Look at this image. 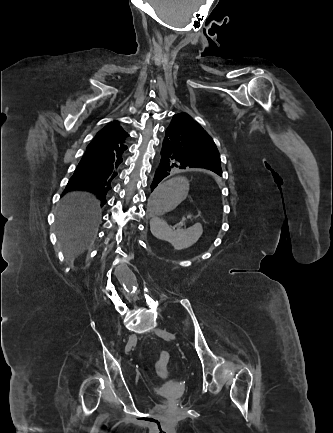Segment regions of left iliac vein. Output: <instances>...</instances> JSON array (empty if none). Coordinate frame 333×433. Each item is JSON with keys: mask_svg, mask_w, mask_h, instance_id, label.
Wrapping results in <instances>:
<instances>
[{"mask_svg": "<svg viewBox=\"0 0 333 433\" xmlns=\"http://www.w3.org/2000/svg\"><path fill=\"white\" fill-rule=\"evenodd\" d=\"M154 332H155L158 336H160V337H162V338H164V339H171V340H175V339H176V337H175L173 334L169 333V332L166 331V330L155 329Z\"/></svg>", "mask_w": 333, "mask_h": 433, "instance_id": "left-iliac-vein-1", "label": "left iliac vein"}]
</instances>
